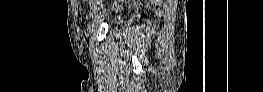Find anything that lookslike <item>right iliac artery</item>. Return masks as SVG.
<instances>
[{"mask_svg":"<svg viewBox=\"0 0 263 92\" xmlns=\"http://www.w3.org/2000/svg\"><path fill=\"white\" fill-rule=\"evenodd\" d=\"M92 2H93V0H90V1H89V4H92Z\"/></svg>","mask_w":263,"mask_h":92,"instance_id":"right-iliac-artery-1","label":"right iliac artery"}]
</instances>
